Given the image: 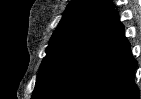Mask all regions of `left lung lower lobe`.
Wrapping results in <instances>:
<instances>
[{
	"mask_svg": "<svg viewBox=\"0 0 141 99\" xmlns=\"http://www.w3.org/2000/svg\"><path fill=\"white\" fill-rule=\"evenodd\" d=\"M112 12L38 99H139L137 62Z\"/></svg>",
	"mask_w": 141,
	"mask_h": 99,
	"instance_id": "obj_1",
	"label": "left lung lower lobe"
}]
</instances>
